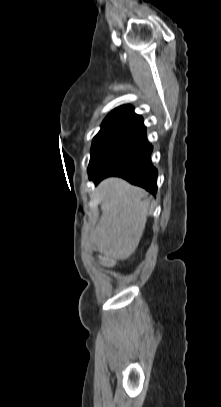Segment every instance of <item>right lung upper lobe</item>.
I'll return each instance as SVG.
<instances>
[{
	"label": "right lung upper lobe",
	"mask_w": 221,
	"mask_h": 407,
	"mask_svg": "<svg viewBox=\"0 0 221 407\" xmlns=\"http://www.w3.org/2000/svg\"><path fill=\"white\" fill-rule=\"evenodd\" d=\"M119 127H133L140 129L144 127V123L142 117L134 113V109L131 105H124L116 108L108 114L101 125V130Z\"/></svg>",
	"instance_id": "obj_1"
}]
</instances>
